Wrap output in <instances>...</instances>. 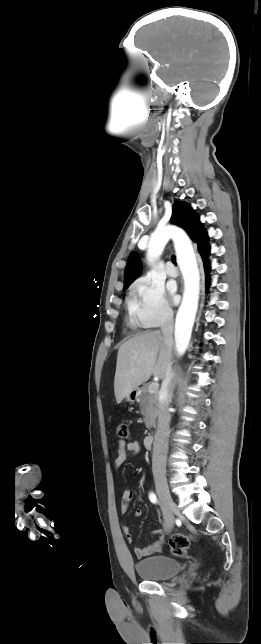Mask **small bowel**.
I'll list each match as a JSON object with an SVG mask.
<instances>
[{
	"mask_svg": "<svg viewBox=\"0 0 261 644\" xmlns=\"http://www.w3.org/2000/svg\"><path fill=\"white\" fill-rule=\"evenodd\" d=\"M140 452H141V447L138 442L136 441L125 442L124 440H119L117 456L114 460V467L116 469L120 468L123 465V463L126 461L128 454L138 455ZM133 496H134V491L132 489H125L122 492L121 505H120L121 514H125L127 512L128 504L132 500ZM134 515L135 517H141L143 515L142 508H137L135 510ZM158 519L162 525V528L154 530V534L157 536V539L148 546L135 547L134 554L136 555L137 558H143L161 551L165 540L164 531L169 529L168 528L169 515L167 513L160 514L158 516ZM122 530L126 535L128 541H132L133 535L130 527L127 525H124L122 527Z\"/></svg>",
	"mask_w": 261,
	"mask_h": 644,
	"instance_id": "1",
	"label": "small bowel"
}]
</instances>
